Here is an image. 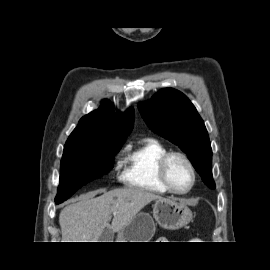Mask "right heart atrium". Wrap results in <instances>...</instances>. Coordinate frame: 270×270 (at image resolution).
<instances>
[{
    "instance_id": "1",
    "label": "right heart atrium",
    "mask_w": 270,
    "mask_h": 270,
    "mask_svg": "<svg viewBox=\"0 0 270 270\" xmlns=\"http://www.w3.org/2000/svg\"><path fill=\"white\" fill-rule=\"evenodd\" d=\"M117 168H119V164H117Z\"/></svg>"
}]
</instances>
